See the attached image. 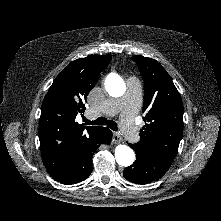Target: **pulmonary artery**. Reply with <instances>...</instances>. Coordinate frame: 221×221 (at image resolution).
Wrapping results in <instances>:
<instances>
[{"label":"pulmonary artery","mask_w":221,"mask_h":221,"mask_svg":"<svg viewBox=\"0 0 221 221\" xmlns=\"http://www.w3.org/2000/svg\"><path fill=\"white\" fill-rule=\"evenodd\" d=\"M141 102V89L138 81L133 78L127 80V89L123 98L111 99L103 103L100 109L92 108L88 111V116H94L101 112L114 115L122 112L121 132L131 142L139 139L138 129L135 125V115Z\"/></svg>","instance_id":"obj_1"}]
</instances>
